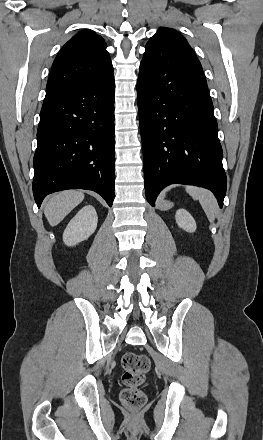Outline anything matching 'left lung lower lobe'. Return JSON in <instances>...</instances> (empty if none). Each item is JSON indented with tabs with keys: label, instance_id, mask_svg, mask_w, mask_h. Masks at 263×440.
Wrapping results in <instances>:
<instances>
[{
	"label": "left lung lower lobe",
	"instance_id": "1",
	"mask_svg": "<svg viewBox=\"0 0 263 440\" xmlns=\"http://www.w3.org/2000/svg\"><path fill=\"white\" fill-rule=\"evenodd\" d=\"M137 101L148 202L181 183L210 189L222 207L227 179L206 78L167 53L159 63L141 62Z\"/></svg>",
	"mask_w": 263,
	"mask_h": 440
}]
</instances>
